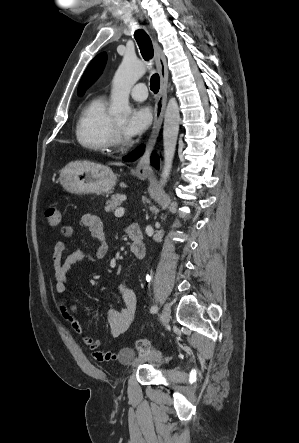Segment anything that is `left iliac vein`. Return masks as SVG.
I'll use <instances>...</instances> for the list:
<instances>
[{"mask_svg": "<svg viewBox=\"0 0 299 443\" xmlns=\"http://www.w3.org/2000/svg\"><path fill=\"white\" fill-rule=\"evenodd\" d=\"M170 317H171V307L168 303H166L162 310V321L164 326H167L169 324Z\"/></svg>", "mask_w": 299, "mask_h": 443, "instance_id": "4c4485c4", "label": "left iliac vein"}]
</instances>
